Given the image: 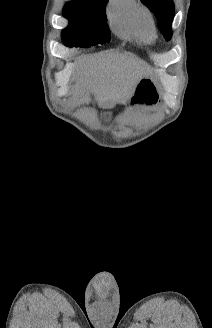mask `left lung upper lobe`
Instances as JSON below:
<instances>
[{
    "instance_id": "5c2ea615",
    "label": "left lung upper lobe",
    "mask_w": 212,
    "mask_h": 328,
    "mask_svg": "<svg viewBox=\"0 0 212 328\" xmlns=\"http://www.w3.org/2000/svg\"><path fill=\"white\" fill-rule=\"evenodd\" d=\"M156 16L159 28L166 40L172 36L171 23L174 18V3L171 0H141Z\"/></svg>"
}]
</instances>
